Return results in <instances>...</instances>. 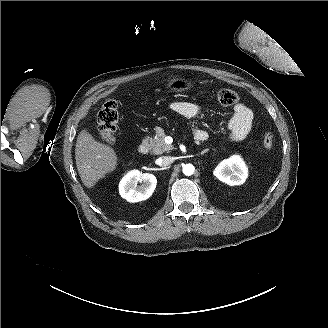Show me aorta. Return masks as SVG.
<instances>
[{
    "instance_id": "1",
    "label": "aorta",
    "mask_w": 328,
    "mask_h": 328,
    "mask_svg": "<svg viewBox=\"0 0 328 328\" xmlns=\"http://www.w3.org/2000/svg\"><path fill=\"white\" fill-rule=\"evenodd\" d=\"M182 170H183L184 175L191 176L195 171V167L190 163L189 164H184L182 166Z\"/></svg>"
}]
</instances>
